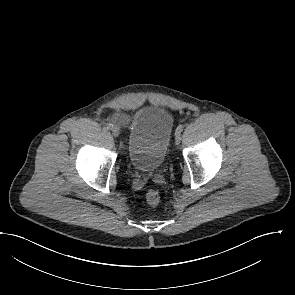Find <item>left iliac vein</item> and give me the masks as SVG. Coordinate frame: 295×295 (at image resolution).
I'll return each mask as SVG.
<instances>
[{
	"label": "left iliac vein",
	"instance_id": "obj_1",
	"mask_svg": "<svg viewBox=\"0 0 295 295\" xmlns=\"http://www.w3.org/2000/svg\"><path fill=\"white\" fill-rule=\"evenodd\" d=\"M181 140V134L179 132L175 133V143L179 144Z\"/></svg>",
	"mask_w": 295,
	"mask_h": 295
}]
</instances>
